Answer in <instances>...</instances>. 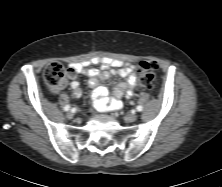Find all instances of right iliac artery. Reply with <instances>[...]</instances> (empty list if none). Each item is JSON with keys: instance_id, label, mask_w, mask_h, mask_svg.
Wrapping results in <instances>:
<instances>
[{"instance_id": "right-iliac-artery-1", "label": "right iliac artery", "mask_w": 222, "mask_h": 187, "mask_svg": "<svg viewBox=\"0 0 222 187\" xmlns=\"http://www.w3.org/2000/svg\"><path fill=\"white\" fill-rule=\"evenodd\" d=\"M70 108H71L70 105H66V106L64 107V110H65V111H68V110H70Z\"/></svg>"}]
</instances>
